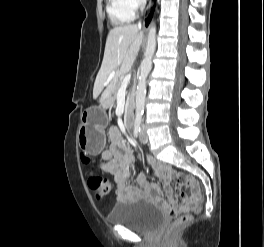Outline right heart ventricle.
I'll return each instance as SVG.
<instances>
[{
    "instance_id": "e07e8e85",
    "label": "right heart ventricle",
    "mask_w": 264,
    "mask_h": 247,
    "mask_svg": "<svg viewBox=\"0 0 264 247\" xmlns=\"http://www.w3.org/2000/svg\"><path fill=\"white\" fill-rule=\"evenodd\" d=\"M108 13L112 21L116 24H124L131 21L134 14L127 11L120 0H110L108 6Z\"/></svg>"
}]
</instances>
